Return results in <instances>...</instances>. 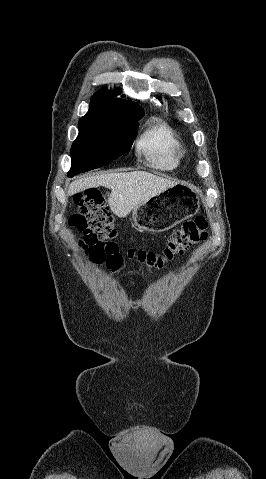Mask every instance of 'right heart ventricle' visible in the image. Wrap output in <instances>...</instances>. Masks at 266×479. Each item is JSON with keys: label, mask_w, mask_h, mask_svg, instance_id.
<instances>
[{"label": "right heart ventricle", "mask_w": 266, "mask_h": 479, "mask_svg": "<svg viewBox=\"0 0 266 479\" xmlns=\"http://www.w3.org/2000/svg\"><path fill=\"white\" fill-rule=\"evenodd\" d=\"M137 145L154 168L169 171L179 165L181 143L166 125L159 124L149 128Z\"/></svg>", "instance_id": "obj_1"}]
</instances>
